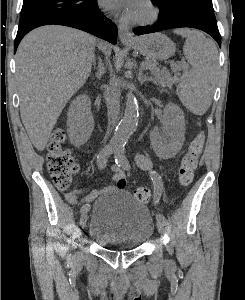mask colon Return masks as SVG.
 <instances>
[{"instance_id": "1", "label": "colon", "mask_w": 245, "mask_h": 300, "mask_svg": "<svg viewBox=\"0 0 245 300\" xmlns=\"http://www.w3.org/2000/svg\"><path fill=\"white\" fill-rule=\"evenodd\" d=\"M65 134L61 129H57L52 134L48 144L47 168L54 185L60 190H66L70 187L74 173L78 165L72 157L69 150L63 147ZM205 143L204 131H199L191 140L188 149L182 158L178 179L182 186L191 184L194 178V172L198 165L199 157L202 153ZM135 198L147 203L152 197L151 190L148 187H139L134 192Z\"/></svg>"}]
</instances>
